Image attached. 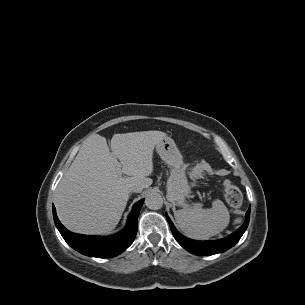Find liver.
<instances>
[{
  "label": "liver",
  "instance_id": "obj_1",
  "mask_svg": "<svg viewBox=\"0 0 305 305\" xmlns=\"http://www.w3.org/2000/svg\"><path fill=\"white\" fill-rule=\"evenodd\" d=\"M166 133L142 131L114 134L111 150L107 140L91 135L59 182L54 196L57 215L70 231L106 234L121 219L132 186L148 188L153 180V151ZM119 159L118 175L114 160Z\"/></svg>",
  "mask_w": 305,
  "mask_h": 305
}]
</instances>
